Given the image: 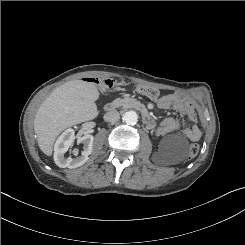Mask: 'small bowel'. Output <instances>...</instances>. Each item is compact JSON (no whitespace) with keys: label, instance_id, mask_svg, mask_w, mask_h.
Returning <instances> with one entry per match:
<instances>
[{"label":"small bowel","instance_id":"obj_1","mask_svg":"<svg viewBox=\"0 0 245 245\" xmlns=\"http://www.w3.org/2000/svg\"><path fill=\"white\" fill-rule=\"evenodd\" d=\"M158 106L161 109H173L187 117L190 126L184 129V135L191 141H197L202 136V130L198 125L196 113L192 104L181 94L171 93L161 97L158 100ZM179 122L173 118H165L161 121L160 126L156 128L155 133L158 136L166 135L178 129Z\"/></svg>","mask_w":245,"mask_h":245}]
</instances>
